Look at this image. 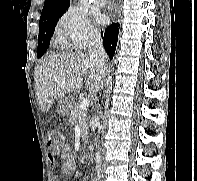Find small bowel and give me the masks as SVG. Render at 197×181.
I'll list each match as a JSON object with an SVG mask.
<instances>
[{"label": "small bowel", "instance_id": "small-bowel-1", "mask_svg": "<svg viewBox=\"0 0 197 181\" xmlns=\"http://www.w3.org/2000/svg\"><path fill=\"white\" fill-rule=\"evenodd\" d=\"M60 156L62 159L61 170L66 176H71L74 174L77 164L76 160L72 154L71 148L68 145H64L59 151H51L49 154V163L52 168L57 166L56 157ZM54 181H57L55 178Z\"/></svg>", "mask_w": 197, "mask_h": 181}]
</instances>
